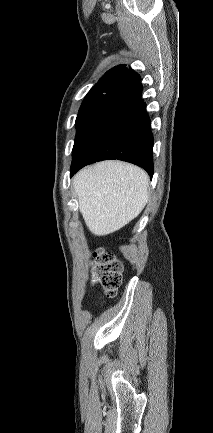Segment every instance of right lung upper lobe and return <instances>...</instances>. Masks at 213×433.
Wrapping results in <instances>:
<instances>
[{
    "mask_svg": "<svg viewBox=\"0 0 213 433\" xmlns=\"http://www.w3.org/2000/svg\"><path fill=\"white\" fill-rule=\"evenodd\" d=\"M140 81V76L126 65H118L107 71L92 87L86 98L101 95H118Z\"/></svg>",
    "mask_w": 213,
    "mask_h": 433,
    "instance_id": "cb5924a9",
    "label": "right lung upper lobe"
}]
</instances>
